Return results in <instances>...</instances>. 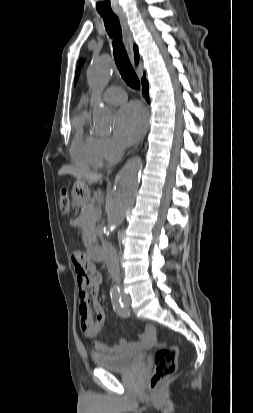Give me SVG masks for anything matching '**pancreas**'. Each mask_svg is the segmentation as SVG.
Segmentation results:
<instances>
[{
  "mask_svg": "<svg viewBox=\"0 0 253 413\" xmlns=\"http://www.w3.org/2000/svg\"><path fill=\"white\" fill-rule=\"evenodd\" d=\"M100 218L101 209L94 204V199H92L79 217V227L82 230V239L86 247H91L97 241L95 224Z\"/></svg>",
  "mask_w": 253,
  "mask_h": 413,
  "instance_id": "pancreas-1",
  "label": "pancreas"
}]
</instances>
